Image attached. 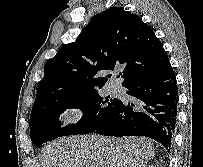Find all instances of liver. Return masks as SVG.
<instances>
[{
	"mask_svg": "<svg viewBox=\"0 0 203 167\" xmlns=\"http://www.w3.org/2000/svg\"><path fill=\"white\" fill-rule=\"evenodd\" d=\"M154 156L141 137L70 136L49 142L36 167H143Z\"/></svg>",
	"mask_w": 203,
	"mask_h": 167,
	"instance_id": "6515ba94",
	"label": "liver"
}]
</instances>
